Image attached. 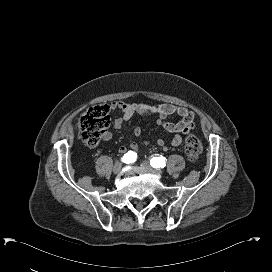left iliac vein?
Here are the masks:
<instances>
[{"mask_svg": "<svg viewBox=\"0 0 272 272\" xmlns=\"http://www.w3.org/2000/svg\"><path fill=\"white\" fill-rule=\"evenodd\" d=\"M141 165H142L143 167H146V168L149 167V163H148V162H142ZM156 171L159 172V173L162 172L161 169H158V168L156 169Z\"/></svg>", "mask_w": 272, "mask_h": 272, "instance_id": "4c4485c4", "label": "left iliac vein"}]
</instances>
